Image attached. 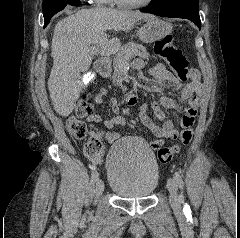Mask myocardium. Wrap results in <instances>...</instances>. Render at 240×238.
<instances>
[{
    "mask_svg": "<svg viewBox=\"0 0 240 238\" xmlns=\"http://www.w3.org/2000/svg\"><path fill=\"white\" fill-rule=\"evenodd\" d=\"M116 5L123 8H139L144 7L152 2V0H144L141 2H127L124 0H112Z\"/></svg>",
    "mask_w": 240,
    "mask_h": 238,
    "instance_id": "1",
    "label": "myocardium"
}]
</instances>
